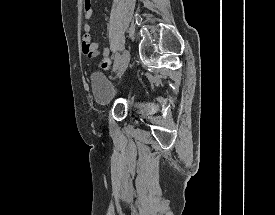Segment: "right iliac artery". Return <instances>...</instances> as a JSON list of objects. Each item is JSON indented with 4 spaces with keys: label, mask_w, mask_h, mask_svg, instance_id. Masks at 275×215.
Returning <instances> with one entry per match:
<instances>
[{
    "label": "right iliac artery",
    "mask_w": 275,
    "mask_h": 215,
    "mask_svg": "<svg viewBox=\"0 0 275 215\" xmlns=\"http://www.w3.org/2000/svg\"><path fill=\"white\" fill-rule=\"evenodd\" d=\"M119 60H120L119 54H115V61H114V65H113L114 70H116L118 68Z\"/></svg>",
    "instance_id": "right-iliac-artery-1"
}]
</instances>
